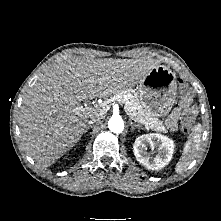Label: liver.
I'll return each instance as SVG.
<instances>
[{
  "mask_svg": "<svg viewBox=\"0 0 221 221\" xmlns=\"http://www.w3.org/2000/svg\"><path fill=\"white\" fill-rule=\"evenodd\" d=\"M159 64L153 59L72 58L54 65L25 94L21 140L27 153L49 167L80 140L88 118L82 101L107 98L135 86Z\"/></svg>",
  "mask_w": 221,
  "mask_h": 221,
  "instance_id": "obj_1",
  "label": "liver"
}]
</instances>
